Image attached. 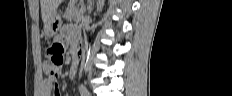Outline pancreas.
Here are the masks:
<instances>
[{
    "label": "pancreas",
    "instance_id": "cf45deb5",
    "mask_svg": "<svg viewBox=\"0 0 232 96\" xmlns=\"http://www.w3.org/2000/svg\"><path fill=\"white\" fill-rule=\"evenodd\" d=\"M81 16H82V10L72 4L69 5V7L67 8V10L63 15L64 19H66L67 21L76 20L78 17Z\"/></svg>",
    "mask_w": 232,
    "mask_h": 96
}]
</instances>
